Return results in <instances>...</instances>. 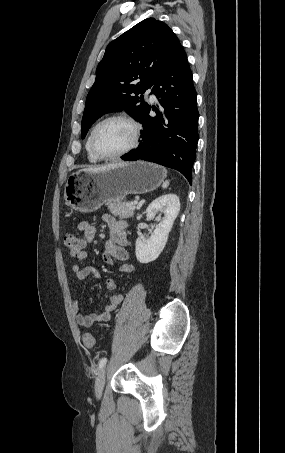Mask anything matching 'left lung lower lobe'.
Segmentation results:
<instances>
[{
	"label": "left lung lower lobe",
	"instance_id": "1",
	"mask_svg": "<svg viewBox=\"0 0 285 453\" xmlns=\"http://www.w3.org/2000/svg\"><path fill=\"white\" fill-rule=\"evenodd\" d=\"M152 92L159 98L161 107H153L155 117L149 115L151 107H147L139 120L144 130L138 148L121 158L142 159L175 169L191 184L199 114L192 72L181 44L169 56Z\"/></svg>",
	"mask_w": 285,
	"mask_h": 453
}]
</instances>
